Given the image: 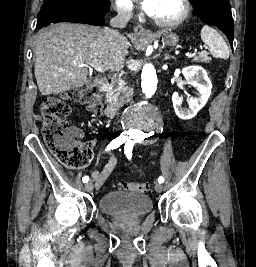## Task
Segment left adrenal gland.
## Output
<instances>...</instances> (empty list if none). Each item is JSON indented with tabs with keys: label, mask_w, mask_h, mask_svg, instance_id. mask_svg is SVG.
<instances>
[{
	"label": "left adrenal gland",
	"mask_w": 256,
	"mask_h": 267,
	"mask_svg": "<svg viewBox=\"0 0 256 267\" xmlns=\"http://www.w3.org/2000/svg\"><path fill=\"white\" fill-rule=\"evenodd\" d=\"M166 60H170V58H174V56H169V54H164Z\"/></svg>",
	"instance_id": "1"
}]
</instances>
